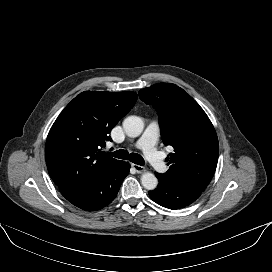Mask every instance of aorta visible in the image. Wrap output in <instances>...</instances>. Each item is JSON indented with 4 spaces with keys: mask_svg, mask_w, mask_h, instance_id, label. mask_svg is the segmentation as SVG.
Listing matches in <instances>:
<instances>
[{
    "mask_svg": "<svg viewBox=\"0 0 272 272\" xmlns=\"http://www.w3.org/2000/svg\"><path fill=\"white\" fill-rule=\"evenodd\" d=\"M144 128L143 120L138 116H129L123 121V129L127 136L137 137ZM141 183L147 190H154L158 185L156 176L151 172H145L141 176Z\"/></svg>",
    "mask_w": 272,
    "mask_h": 272,
    "instance_id": "1",
    "label": "aorta"
}]
</instances>
